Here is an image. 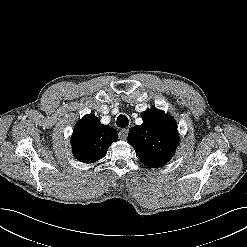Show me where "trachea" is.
Masks as SVG:
<instances>
[{"label":"trachea","instance_id":"1","mask_svg":"<svg viewBox=\"0 0 247 247\" xmlns=\"http://www.w3.org/2000/svg\"><path fill=\"white\" fill-rule=\"evenodd\" d=\"M116 124L120 128H126L129 125V120L126 116L124 115H119L117 117Z\"/></svg>","mask_w":247,"mask_h":247}]
</instances>
